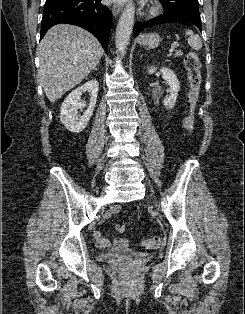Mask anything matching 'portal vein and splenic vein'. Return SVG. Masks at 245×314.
<instances>
[{"mask_svg":"<svg viewBox=\"0 0 245 314\" xmlns=\"http://www.w3.org/2000/svg\"><path fill=\"white\" fill-rule=\"evenodd\" d=\"M179 47V43L178 42H175L171 48L169 49V54L171 55L173 53V51H175V49Z\"/></svg>","mask_w":245,"mask_h":314,"instance_id":"obj_1","label":"portal vein and splenic vein"}]
</instances>
